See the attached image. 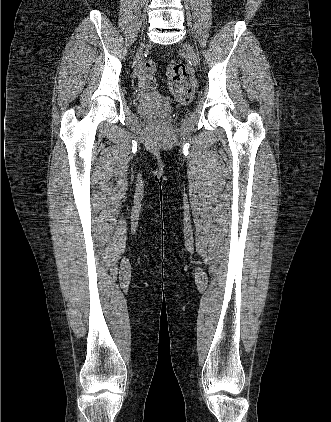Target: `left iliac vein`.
<instances>
[{
    "label": "left iliac vein",
    "instance_id": "obj_1",
    "mask_svg": "<svg viewBox=\"0 0 331 422\" xmlns=\"http://www.w3.org/2000/svg\"><path fill=\"white\" fill-rule=\"evenodd\" d=\"M184 50L187 53V56L190 58L194 66H198V58L197 55L193 49V47L190 44L185 43L183 45Z\"/></svg>",
    "mask_w": 331,
    "mask_h": 422
}]
</instances>
